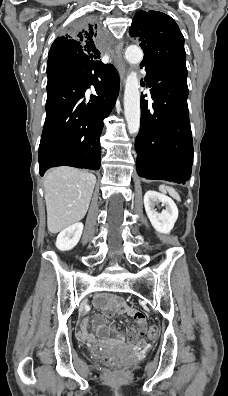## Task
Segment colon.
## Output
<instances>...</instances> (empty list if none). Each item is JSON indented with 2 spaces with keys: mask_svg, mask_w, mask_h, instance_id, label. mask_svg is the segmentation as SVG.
I'll list each match as a JSON object with an SVG mask.
<instances>
[{
  "mask_svg": "<svg viewBox=\"0 0 228 396\" xmlns=\"http://www.w3.org/2000/svg\"><path fill=\"white\" fill-rule=\"evenodd\" d=\"M146 335L149 339H154L158 335V329L155 326H150L146 329ZM102 362L110 367H113L117 364V360L115 359V357L110 355L104 356Z\"/></svg>",
  "mask_w": 228,
  "mask_h": 396,
  "instance_id": "1",
  "label": "colon"
}]
</instances>
